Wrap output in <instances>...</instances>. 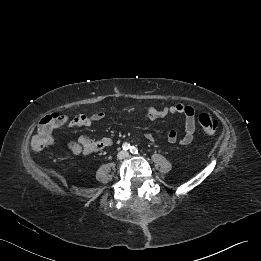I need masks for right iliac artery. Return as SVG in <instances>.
<instances>
[{"label":"right iliac artery","mask_w":261,"mask_h":261,"mask_svg":"<svg viewBox=\"0 0 261 261\" xmlns=\"http://www.w3.org/2000/svg\"><path fill=\"white\" fill-rule=\"evenodd\" d=\"M122 148H123V150H129V149L131 148V146H130L129 143H124V144L122 145Z\"/></svg>","instance_id":"obj_1"}]
</instances>
